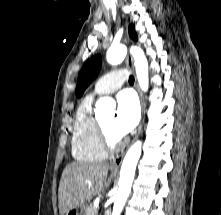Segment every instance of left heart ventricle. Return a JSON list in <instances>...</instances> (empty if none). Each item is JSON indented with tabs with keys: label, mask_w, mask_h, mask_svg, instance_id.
I'll list each match as a JSON object with an SVG mask.
<instances>
[{
	"label": "left heart ventricle",
	"mask_w": 221,
	"mask_h": 215,
	"mask_svg": "<svg viewBox=\"0 0 221 215\" xmlns=\"http://www.w3.org/2000/svg\"><path fill=\"white\" fill-rule=\"evenodd\" d=\"M100 122L112 135L116 136L113 132V129H112V123H113L112 117L104 118V119L100 120Z\"/></svg>",
	"instance_id": "left-heart-ventricle-1"
}]
</instances>
